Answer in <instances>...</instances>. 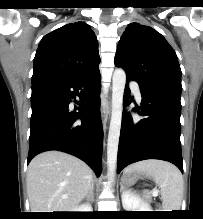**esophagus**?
<instances>
[{
    "mask_svg": "<svg viewBox=\"0 0 203 219\" xmlns=\"http://www.w3.org/2000/svg\"><path fill=\"white\" fill-rule=\"evenodd\" d=\"M102 108H103V110H102V116H103L104 121H105V120H106V108H105V104H104V103H102Z\"/></svg>",
    "mask_w": 203,
    "mask_h": 219,
    "instance_id": "34e87169",
    "label": "esophagus"
}]
</instances>
